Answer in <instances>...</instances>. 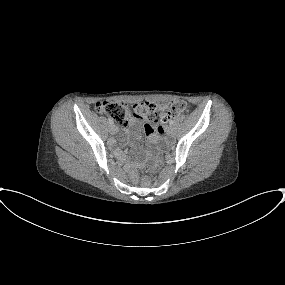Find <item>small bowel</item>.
I'll return each instance as SVG.
<instances>
[{
    "instance_id": "1",
    "label": "small bowel",
    "mask_w": 285,
    "mask_h": 285,
    "mask_svg": "<svg viewBox=\"0 0 285 285\" xmlns=\"http://www.w3.org/2000/svg\"><path fill=\"white\" fill-rule=\"evenodd\" d=\"M151 138L155 137L156 133L161 131V127L157 123H144L142 124L138 119L132 118L127 128V132L135 135L136 138H140L141 131Z\"/></svg>"
}]
</instances>
